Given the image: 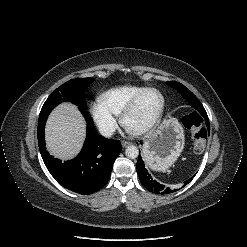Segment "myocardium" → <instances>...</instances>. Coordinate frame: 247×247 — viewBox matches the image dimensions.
<instances>
[{"mask_svg": "<svg viewBox=\"0 0 247 247\" xmlns=\"http://www.w3.org/2000/svg\"><path fill=\"white\" fill-rule=\"evenodd\" d=\"M149 91L157 92L160 95V97H161L160 110H159L158 114L156 115V117L149 124H147L146 126H144L143 128H140V129H132L129 127V125L127 123L128 117L133 112V110L136 108L138 102L143 97V95ZM165 105H166L165 97L159 89H157L155 87H146L145 89L140 91L138 94H136L133 97V99L128 103V105L125 107V109L123 110V112L121 114V124L129 133H131L133 135H136V136L146 135V134L150 133L154 128H156L158 126V124L161 122L163 115H164V112H165Z\"/></svg>", "mask_w": 247, "mask_h": 247, "instance_id": "1", "label": "myocardium"}]
</instances>
